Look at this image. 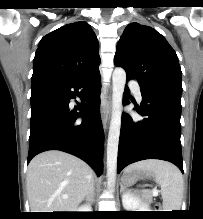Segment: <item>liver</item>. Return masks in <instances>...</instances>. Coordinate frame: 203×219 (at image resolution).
Returning a JSON list of instances; mask_svg holds the SVG:
<instances>
[{
    "mask_svg": "<svg viewBox=\"0 0 203 219\" xmlns=\"http://www.w3.org/2000/svg\"><path fill=\"white\" fill-rule=\"evenodd\" d=\"M92 180L93 171L83 160L58 150L42 152L28 166L30 208L32 212H73Z\"/></svg>",
    "mask_w": 203,
    "mask_h": 219,
    "instance_id": "obj_1",
    "label": "liver"
}]
</instances>
